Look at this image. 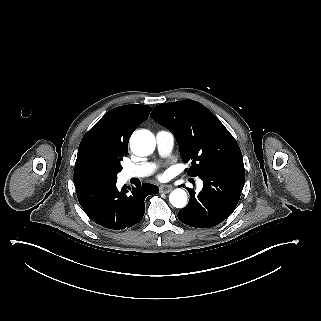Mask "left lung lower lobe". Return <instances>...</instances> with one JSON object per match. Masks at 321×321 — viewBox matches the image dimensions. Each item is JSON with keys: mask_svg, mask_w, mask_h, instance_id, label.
Segmentation results:
<instances>
[{"mask_svg": "<svg viewBox=\"0 0 321 321\" xmlns=\"http://www.w3.org/2000/svg\"><path fill=\"white\" fill-rule=\"evenodd\" d=\"M197 176L203 181V189L196 194L183 185L190 193V201L178 212V218L192 227H212L234 211L244 186V163L243 160L219 163Z\"/></svg>", "mask_w": 321, "mask_h": 321, "instance_id": "obj_1", "label": "left lung lower lobe"}]
</instances>
